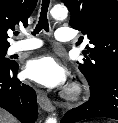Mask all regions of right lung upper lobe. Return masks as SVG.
<instances>
[{"instance_id":"right-lung-upper-lobe-1","label":"right lung upper lobe","mask_w":118,"mask_h":123,"mask_svg":"<svg viewBox=\"0 0 118 123\" xmlns=\"http://www.w3.org/2000/svg\"><path fill=\"white\" fill-rule=\"evenodd\" d=\"M37 0H0V50H7V31L15 26H28V18L32 14Z\"/></svg>"}]
</instances>
